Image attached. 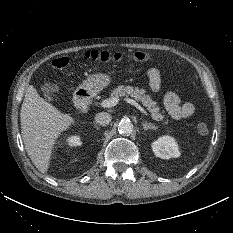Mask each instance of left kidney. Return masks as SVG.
Here are the masks:
<instances>
[{"label":"left kidney","mask_w":233,"mask_h":233,"mask_svg":"<svg viewBox=\"0 0 233 233\" xmlns=\"http://www.w3.org/2000/svg\"><path fill=\"white\" fill-rule=\"evenodd\" d=\"M154 154L162 159L177 158L180 151L176 140L171 136H161L152 143Z\"/></svg>","instance_id":"obj_1"}]
</instances>
